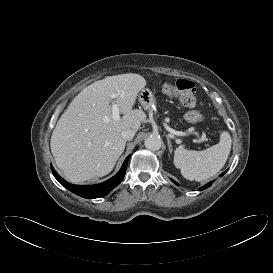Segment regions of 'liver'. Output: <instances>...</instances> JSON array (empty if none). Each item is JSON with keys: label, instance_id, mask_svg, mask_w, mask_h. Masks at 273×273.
I'll return each instance as SVG.
<instances>
[{"label": "liver", "instance_id": "liver-1", "mask_svg": "<svg viewBox=\"0 0 273 273\" xmlns=\"http://www.w3.org/2000/svg\"><path fill=\"white\" fill-rule=\"evenodd\" d=\"M145 86L139 74H120L96 81L76 96L50 141L55 163L68 181L80 183L112 171L126 146L121 132H136L145 120L142 110L132 109ZM111 103L123 114L119 120L112 117Z\"/></svg>", "mask_w": 273, "mask_h": 273}]
</instances>
